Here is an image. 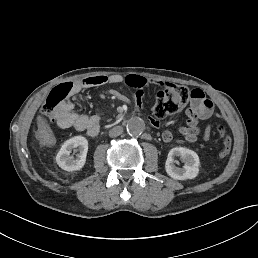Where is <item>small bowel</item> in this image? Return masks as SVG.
<instances>
[{
  "label": "small bowel",
  "mask_w": 258,
  "mask_h": 258,
  "mask_svg": "<svg viewBox=\"0 0 258 258\" xmlns=\"http://www.w3.org/2000/svg\"><path fill=\"white\" fill-rule=\"evenodd\" d=\"M124 83L129 87L136 89L135 99L139 108L143 106L144 89L152 84L149 78L139 75L122 76L120 74L97 75L84 78L75 83V93L93 87H102L110 84ZM162 88L165 83H160ZM213 111V103L207 99L200 89H193L190 95V103L186 109V122L184 126L179 128V132L184 136L186 141L194 143L198 140L200 133L199 120L207 119ZM56 124L58 127L74 128L78 131H86L89 135L95 136L100 129V120L97 115L79 114L73 111V106L70 102L59 108L55 114ZM150 122L154 126H159L160 123L153 117H149ZM210 126L208 125L204 131V141L210 139ZM38 141L42 148H51L55 144V137L48 125L41 121L38 125ZM173 135L169 130H165L162 134L164 142L168 143L172 140Z\"/></svg>",
  "instance_id": "1"
}]
</instances>
